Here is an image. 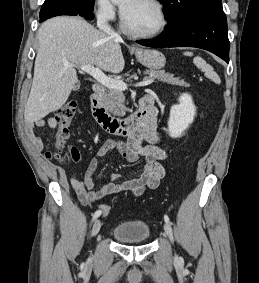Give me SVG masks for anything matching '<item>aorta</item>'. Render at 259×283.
Listing matches in <instances>:
<instances>
[{"instance_id":"obj_1","label":"aorta","mask_w":259,"mask_h":283,"mask_svg":"<svg viewBox=\"0 0 259 283\" xmlns=\"http://www.w3.org/2000/svg\"><path fill=\"white\" fill-rule=\"evenodd\" d=\"M113 2H118V1H120V0H112Z\"/></svg>"}]
</instances>
